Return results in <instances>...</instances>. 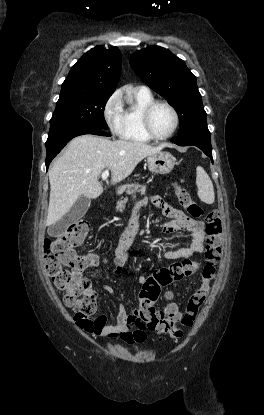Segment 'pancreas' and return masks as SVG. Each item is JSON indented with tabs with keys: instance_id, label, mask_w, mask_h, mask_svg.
Masks as SVG:
<instances>
[{
	"instance_id": "1",
	"label": "pancreas",
	"mask_w": 264,
	"mask_h": 415,
	"mask_svg": "<svg viewBox=\"0 0 264 415\" xmlns=\"http://www.w3.org/2000/svg\"><path fill=\"white\" fill-rule=\"evenodd\" d=\"M139 192H140L141 194H145V192H146V188H145V187H142V188L139 190ZM134 198H135V196H134ZM127 202H128V198H124V199L119 200V201L117 202L116 210H117V211H119V212H123V210L125 209V205H126V203H127Z\"/></svg>"
}]
</instances>
